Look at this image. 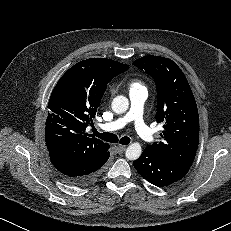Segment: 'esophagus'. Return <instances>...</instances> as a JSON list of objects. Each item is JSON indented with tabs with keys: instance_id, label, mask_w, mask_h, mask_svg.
<instances>
[{
	"instance_id": "esophagus-1",
	"label": "esophagus",
	"mask_w": 231,
	"mask_h": 231,
	"mask_svg": "<svg viewBox=\"0 0 231 231\" xmlns=\"http://www.w3.org/2000/svg\"><path fill=\"white\" fill-rule=\"evenodd\" d=\"M125 150H126V146H122V145L117 146V151H118L119 154L124 153Z\"/></svg>"
}]
</instances>
